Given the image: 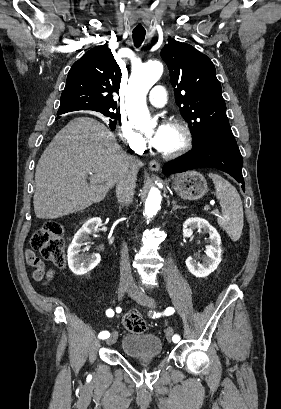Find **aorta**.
Returning a JSON list of instances; mask_svg holds the SVG:
<instances>
[{
    "mask_svg": "<svg viewBox=\"0 0 281 409\" xmlns=\"http://www.w3.org/2000/svg\"><path fill=\"white\" fill-rule=\"evenodd\" d=\"M163 73V65L159 61H149L135 68L129 84V111L134 126L146 131L156 125L151 120L146 105V95ZM161 208V194L157 188H151L145 202L144 215L152 218Z\"/></svg>",
    "mask_w": 281,
    "mask_h": 409,
    "instance_id": "aorta-1",
    "label": "aorta"
}]
</instances>
